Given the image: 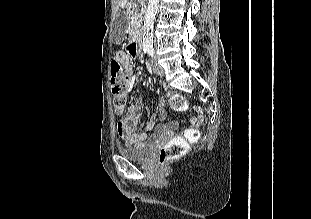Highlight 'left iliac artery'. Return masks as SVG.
<instances>
[{
	"label": "left iliac artery",
	"mask_w": 311,
	"mask_h": 219,
	"mask_svg": "<svg viewBox=\"0 0 311 219\" xmlns=\"http://www.w3.org/2000/svg\"><path fill=\"white\" fill-rule=\"evenodd\" d=\"M147 51H148V53H149V55L151 56V57H153L154 56V48H148L147 49Z\"/></svg>",
	"instance_id": "44dca946"
}]
</instances>
